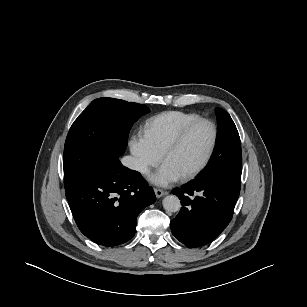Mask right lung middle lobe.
Returning a JSON list of instances; mask_svg holds the SVG:
<instances>
[{"instance_id":"right-lung-middle-lobe-1","label":"right lung middle lobe","mask_w":307,"mask_h":307,"mask_svg":"<svg viewBox=\"0 0 307 307\" xmlns=\"http://www.w3.org/2000/svg\"><path fill=\"white\" fill-rule=\"evenodd\" d=\"M144 104L98 98L72 124L64 147V186L71 188L123 154Z\"/></svg>"}]
</instances>
